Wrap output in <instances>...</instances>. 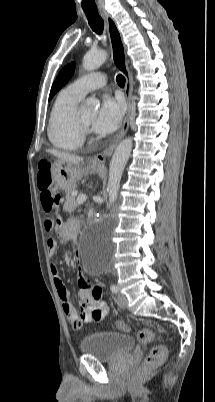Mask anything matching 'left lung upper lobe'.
<instances>
[{"label":"left lung upper lobe","instance_id":"obj_1","mask_svg":"<svg viewBox=\"0 0 215 402\" xmlns=\"http://www.w3.org/2000/svg\"><path fill=\"white\" fill-rule=\"evenodd\" d=\"M74 69L75 64L70 63L60 71L59 75L57 76L55 82L52 85L49 100H51L52 97L68 82V80L74 73Z\"/></svg>","mask_w":215,"mask_h":402}]
</instances>
